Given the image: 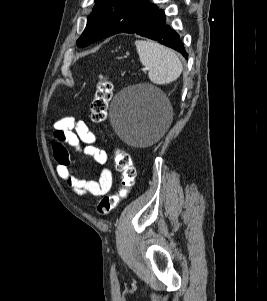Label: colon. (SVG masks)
Wrapping results in <instances>:
<instances>
[{"label":"colon","mask_w":267,"mask_h":301,"mask_svg":"<svg viewBox=\"0 0 267 301\" xmlns=\"http://www.w3.org/2000/svg\"><path fill=\"white\" fill-rule=\"evenodd\" d=\"M112 90L113 85L110 79L102 75L90 105V116L94 123L100 124L106 120ZM114 162L116 169L121 173V187L116 194L106 196L99 202L97 211L101 215L112 212L128 196L136 177V169L128 153L116 150L114 152Z\"/></svg>","instance_id":"obj_1"}]
</instances>
